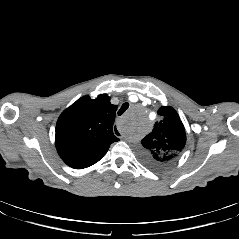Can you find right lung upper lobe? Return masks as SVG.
<instances>
[{"mask_svg": "<svg viewBox=\"0 0 239 239\" xmlns=\"http://www.w3.org/2000/svg\"><path fill=\"white\" fill-rule=\"evenodd\" d=\"M117 105L106 94L84 96L67 108L56 124L55 144L63 161L72 168L89 167L119 139L113 134Z\"/></svg>", "mask_w": 239, "mask_h": 239, "instance_id": "cb5924a9", "label": "right lung upper lobe"}]
</instances>
